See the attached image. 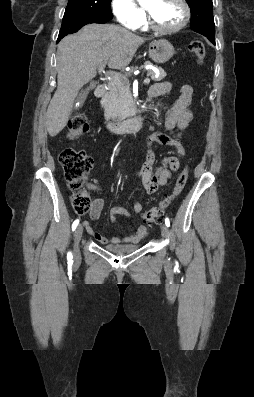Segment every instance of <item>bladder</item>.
<instances>
[{
    "mask_svg": "<svg viewBox=\"0 0 254 397\" xmlns=\"http://www.w3.org/2000/svg\"><path fill=\"white\" fill-rule=\"evenodd\" d=\"M138 249H139V245H137V244L106 246L105 247V250H107L108 252L117 254V255L128 254V253L134 252Z\"/></svg>",
    "mask_w": 254,
    "mask_h": 397,
    "instance_id": "31cf9c89",
    "label": "bladder"
}]
</instances>
